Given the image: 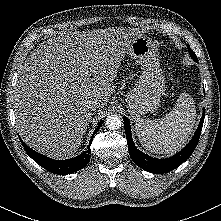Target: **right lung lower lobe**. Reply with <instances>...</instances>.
<instances>
[{
    "label": "right lung lower lobe",
    "mask_w": 221,
    "mask_h": 221,
    "mask_svg": "<svg viewBox=\"0 0 221 221\" xmlns=\"http://www.w3.org/2000/svg\"><path fill=\"white\" fill-rule=\"evenodd\" d=\"M102 123H103V121H101L99 126L95 129L93 136L99 130ZM20 141H21L25 151L27 152V154L36 163H38L40 166L45 168L47 171L54 173V174L63 175V174H71L73 172H76V171L82 169L83 167H85L90 159V153H91L90 148H88L87 151H84L80 155H78L74 158H71V159L53 160L51 158H48V157L32 150L21 139H20ZM90 144H91V142H90ZM90 144H89V146H90Z\"/></svg>",
    "instance_id": "1"
}]
</instances>
